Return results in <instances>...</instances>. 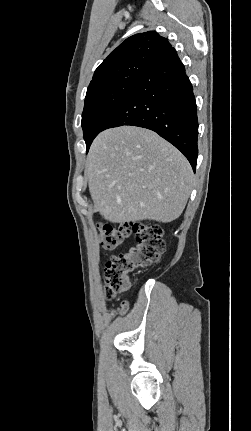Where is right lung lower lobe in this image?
Masks as SVG:
<instances>
[{"label": "right lung lower lobe", "instance_id": "98d812e1", "mask_svg": "<svg viewBox=\"0 0 251 431\" xmlns=\"http://www.w3.org/2000/svg\"><path fill=\"white\" fill-rule=\"evenodd\" d=\"M133 125L155 131L197 164L198 120L193 87L176 51L156 50L147 68L103 130Z\"/></svg>", "mask_w": 251, "mask_h": 431}]
</instances>
